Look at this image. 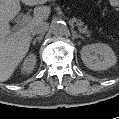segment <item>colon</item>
Segmentation results:
<instances>
[{
	"instance_id": "1",
	"label": "colon",
	"mask_w": 119,
	"mask_h": 119,
	"mask_svg": "<svg viewBox=\"0 0 119 119\" xmlns=\"http://www.w3.org/2000/svg\"><path fill=\"white\" fill-rule=\"evenodd\" d=\"M110 5L114 8H118L119 2L117 0H110Z\"/></svg>"
}]
</instances>
